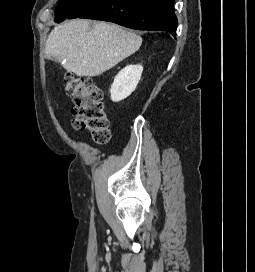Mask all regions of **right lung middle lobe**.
I'll return each instance as SVG.
<instances>
[{
  "mask_svg": "<svg viewBox=\"0 0 255 272\" xmlns=\"http://www.w3.org/2000/svg\"><path fill=\"white\" fill-rule=\"evenodd\" d=\"M90 0H60L55 12V22L60 23Z\"/></svg>",
  "mask_w": 255,
  "mask_h": 272,
  "instance_id": "right-lung-middle-lobe-1",
  "label": "right lung middle lobe"
}]
</instances>
